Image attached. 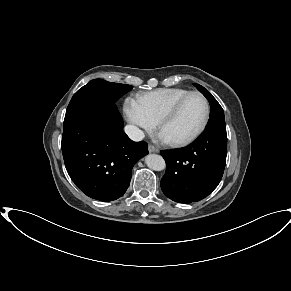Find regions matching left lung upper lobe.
I'll return each mask as SVG.
<instances>
[{"label": "left lung upper lobe", "instance_id": "obj_1", "mask_svg": "<svg viewBox=\"0 0 291 291\" xmlns=\"http://www.w3.org/2000/svg\"><path fill=\"white\" fill-rule=\"evenodd\" d=\"M194 86L207 98L211 106L210 119L206 128L226 127L224 111L217 100L203 86L194 84Z\"/></svg>", "mask_w": 291, "mask_h": 291}]
</instances>
